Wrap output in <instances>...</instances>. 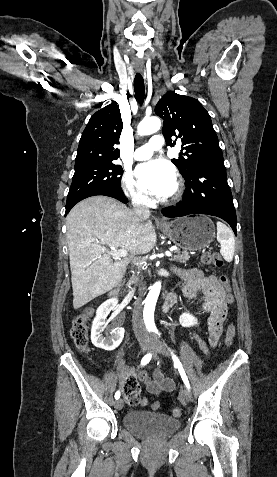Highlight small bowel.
I'll return each mask as SVG.
<instances>
[{"label":"small bowel","instance_id":"c3829d8e","mask_svg":"<svg viewBox=\"0 0 277 477\" xmlns=\"http://www.w3.org/2000/svg\"><path fill=\"white\" fill-rule=\"evenodd\" d=\"M177 272L184 280L183 292L187 297L193 298L197 293H202L204 304L201 311L208 315L206 321L208 342L212 346L216 345L223 333V322L228 309V299L224 286L215 276H205L198 269L178 270ZM194 338L200 348L206 352V343L197 335H194ZM137 379L144 383L149 393L155 395L161 392H170L175 387L173 380L165 376L159 369H155L151 377L146 372L141 371L137 374ZM127 380H132L138 385L131 375L128 376ZM147 403L148 400L142 398L140 404L147 405Z\"/></svg>","mask_w":277,"mask_h":477}]
</instances>
